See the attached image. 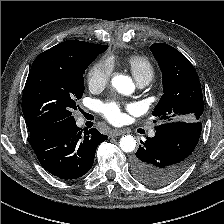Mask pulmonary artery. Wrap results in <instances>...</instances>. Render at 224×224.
Listing matches in <instances>:
<instances>
[{"mask_svg": "<svg viewBox=\"0 0 224 224\" xmlns=\"http://www.w3.org/2000/svg\"><path fill=\"white\" fill-rule=\"evenodd\" d=\"M147 83H148V82H138V86H139V87H143V86H145ZM153 136H154V133L151 132V133H150V137H153Z\"/></svg>", "mask_w": 224, "mask_h": 224, "instance_id": "pulmonary-artery-1", "label": "pulmonary artery"}]
</instances>
